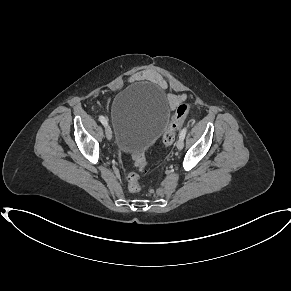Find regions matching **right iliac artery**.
I'll return each mask as SVG.
<instances>
[{
	"mask_svg": "<svg viewBox=\"0 0 291 291\" xmlns=\"http://www.w3.org/2000/svg\"><path fill=\"white\" fill-rule=\"evenodd\" d=\"M99 120H100V122H101L104 126L107 125V120L105 119L104 116L100 115V116H99Z\"/></svg>",
	"mask_w": 291,
	"mask_h": 291,
	"instance_id": "right-iliac-artery-1",
	"label": "right iliac artery"
}]
</instances>
